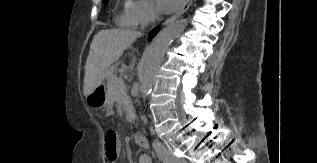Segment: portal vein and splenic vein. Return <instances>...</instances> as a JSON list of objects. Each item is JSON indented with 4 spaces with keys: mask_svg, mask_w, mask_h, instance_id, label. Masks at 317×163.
I'll return each mask as SVG.
<instances>
[{
    "mask_svg": "<svg viewBox=\"0 0 317 163\" xmlns=\"http://www.w3.org/2000/svg\"><path fill=\"white\" fill-rule=\"evenodd\" d=\"M117 84H118V86H120L121 88L124 87V82H123V80H117Z\"/></svg>",
    "mask_w": 317,
    "mask_h": 163,
    "instance_id": "1",
    "label": "portal vein and splenic vein"
}]
</instances>
